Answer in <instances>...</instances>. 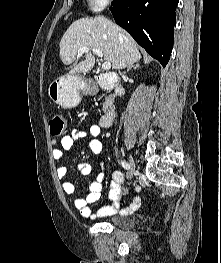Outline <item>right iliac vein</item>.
Here are the masks:
<instances>
[{"label":"right iliac vein","instance_id":"1","mask_svg":"<svg viewBox=\"0 0 221 263\" xmlns=\"http://www.w3.org/2000/svg\"><path fill=\"white\" fill-rule=\"evenodd\" d=\"M129 164H130V175H129V177L131 178L134 171H135V163H134V160H133L131 155H129Z\"/></svg>","mask_w":221,"mask_h":263}]
</instances>
